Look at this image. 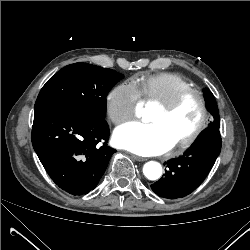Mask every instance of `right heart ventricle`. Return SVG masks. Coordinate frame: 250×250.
Returning a JSON list of instances; mask_svg holds the SVG:
<instances>
[{
  "mask_svg": "<svg viewBox=\"0 0 250 250\" xmlns=\"http://www.w3.org/2000/svg\"><path fill=\"white\" fill-rule=\"evenodd\" d=\"M136 87L146 102L158 104L168 101L182 90L192 88L182 76L169 72L142 76L136 81Z\"/></svg>",
  "mask_w": 250,
  "mask_h": 250,
  "instance_id": "1",
  "label": "right heart ventricle"
}]
</instances>
